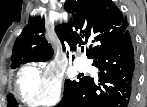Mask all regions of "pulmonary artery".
Segmentation results:
<instances>
[{
    "mask_svg": "<svg viewBox=\"0 0 147 107\" xmlns=\"http://www.w3.org/2000/svg\"><path fill=\"white\" fill-rule=\"evenodd\" d=\"M75 66H76V68L79 69V70H84V69H86V68L88 67V63H87L86 60L80 59V60H77V61L75 62Z\"/></svg>",
    "mask_w": 147,
    "mask_h": 107,
    "instance_id": "pulmonary-artery-1",
    "label": "pulmonary artery"
}]
</instances>
